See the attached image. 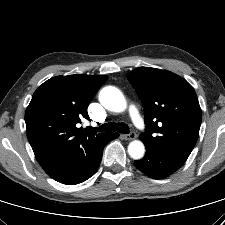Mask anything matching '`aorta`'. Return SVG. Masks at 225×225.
<instances>
[{
	"mask_svg": "<svg viewBox=\"0 0 225 225\" xmlns=\"http://www.w3.org/2000/svg\"><path fill=\"white\" fill-rule=\"evenodd\" d=\"M100 103L109 111L123 112L127 103L122 92L114 87H104L99 93ZM128 153L133 159H141L145 153L144 144L139 140H134L128 145Z\"/></svg>",
	"mask_w": 225,
	"mask_h": 225,
	"instance_id": "1",
	"label": "aorta"
}]
</instances>
